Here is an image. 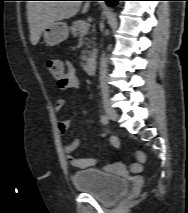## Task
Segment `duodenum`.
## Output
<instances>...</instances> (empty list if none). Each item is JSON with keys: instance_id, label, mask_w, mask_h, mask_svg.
<instances>
[{"instance_id": "obj_1", "label": "duodenum", "mask_w": 188, "mask_h": 213, "mask_svg": "<svg viewBox=\"0 0 188 213\" xmlns=\"http://www.w3.org/2000/svg\"><path fill=\"white\" fill-rule=\"evenodd\" d=\"M85 71L89 75H93L96 72V62L94 60H88L85 63Z\"/></svg>"}]
</instances>
